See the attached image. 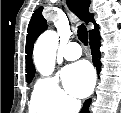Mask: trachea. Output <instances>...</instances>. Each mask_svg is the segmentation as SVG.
Segmentation results:
<instances>
[{
  "label": "trachea",
  "instance_id": "trachea-1",
  "mask_svg": "<svg viewBox=\"0 0 121 113\" xmlns=\"http://www.w3.org/2000/svg\"><path fill=\"white\" fill-rule=\"evenodd\" d=\"M78 38L79 40L84 44L87 45L88 44V32L86 27L81 24L80 26H78Z\"/></svg>",
  "mask_w": 121,
  "mask_h": 113
}]
</instances>
